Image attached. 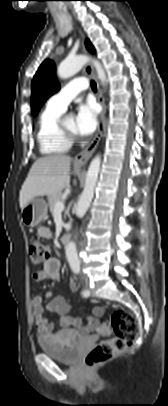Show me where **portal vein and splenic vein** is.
I'll use <instances>...</instances> for the list:
<instances>
[{"label":"portal vein and splenic vein","instance_id":"obj_1","mask_svg":"<svg viewBox=\"0 0 168 406\" xmlns=\"http://www.w3.org/2000/svg\"><path fill=\"white\" fill-rule=\"evenodd\" d=\"M64 207V203L59 201L55 204V211H63Z\"/></svg>","mask_w":168,"mask_h":406}]
</instances>
